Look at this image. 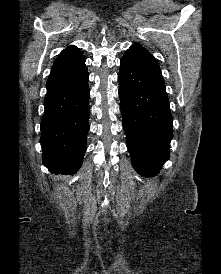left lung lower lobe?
I'll return each mask as SVG.
<instances>
[{
	"instance_id": "left-lung-lower-lobe-1",
	"label": "left lung lower lobe",
	"mask_w": 221,
	"mask_h": 274,
	"mask_svg": "<svg viewBox=\"0 0 221 274\" xmlns=\"http://www.w3.org/2000/svg\"><path fill=\"white\" fill-rule=\"evenodd\" d=\"M119 97L132 165L143 176L157 175L170 156L172 115L156 58L132 45L120 63Z\"/></svg>"
}]
</instances>
